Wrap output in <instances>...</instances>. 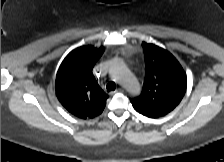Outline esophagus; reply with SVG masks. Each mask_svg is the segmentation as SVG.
<instances>
[{
    "label": "esophagus",
    "mask_w": 224,
    "mask_h": 162,
    "mask_svg": "<svg viewBox=\"0 0 224 162\" xmlns=\"http://www.w3.org/2000/svg\"><path fill=\"white\" fill-rule=\"evenodd\" d=\"M122 91H123V89L119 88V89H117L115 91L110 92V95H115V94H117L119 92H122Z\"/></svg>",
    "instance_id": "esophagus-1"
}]
</instances>
